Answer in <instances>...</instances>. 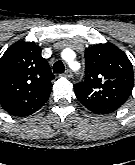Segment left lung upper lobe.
<instances>
[{
    "label": "left lung upper lobe",
    "mask_w": 135,
    "mask_h": 165,
    "mask_svg": "<svg viewBox=\"0 0 135 165\" xmlns=\"http://www.w3.org/2000/svg\"><path fill=\"white\" fill-rule=\"evenodd\" d=\"M85 81L74 85L79 101L90 111L107 114L120 108L134 85L133 67L117 46L106 43L86 48Z\"/></svg>",
    "instance_id": "left-lung-upper-lobe-1"
}]
</instances>
